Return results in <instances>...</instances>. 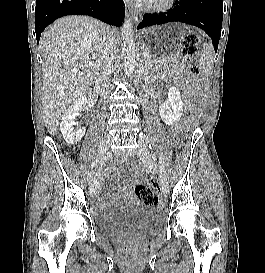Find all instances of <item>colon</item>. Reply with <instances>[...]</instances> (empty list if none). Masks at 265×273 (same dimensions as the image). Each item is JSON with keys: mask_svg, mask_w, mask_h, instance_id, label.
Returning a JSON list of instances; mask_svg holds the SVG:
<instances>
[{"mask_svg": "<svg viewBox=\"0 0 265 273\" xmlns=\"http://www.w3.org/2000/svg\"><path fill=\"white\" fill-rule=\"evenodd\" d=\"M199 38L195 34H188L184 37L182 54L185 62L190 63L191 59L198 53ZM192 72L200 74L201 70L198 66L191 67ZM133 177H137L135 170L130 171ZM137 198L146 205H154L158 202V192L149 183H139L135 189Z\"/></svg>", "mask_w": 265, "mask_h": 273, "instance_id": "obj_1", "label": "colon"}]
</instances>
